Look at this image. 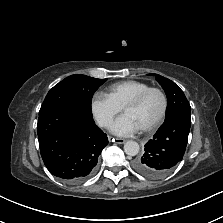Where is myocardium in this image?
<instances>
[{
    "label": "myocardium",
    "mask_w": 223,
    "mask_h": 223,
    "mask_svg": "<svg viewBox=\"0 0 223 223\" xmlns=\"http://www.w3.org/2000/svg\"><path fill=\"white\" fill-rule=\"evenodd\" d=\"M152 92H158L162 96L163 108L160 115L153 123L140 129V131L144 133L156 130L164 121L169 107V100L166 92L159 87H149L144 91L140 92L139 94H137L123 107V111H125L127 108L138 106L147 97V95H149Z\"/></svg>",
    "instance_id": "1"
}]
</instances>
